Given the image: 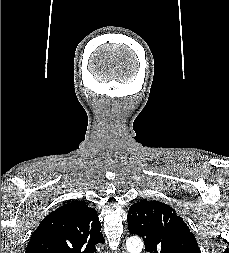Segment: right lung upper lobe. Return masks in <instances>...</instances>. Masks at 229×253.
<instances>
[{"label":"right lung upper lobe","mask_w":229,"mask_h":253,"mask_svg":"<svg viewBox=\"0 0 229 253\" xmlns=\"http://www.w3.org/2000/svg\"><path fill=\"white\" fill-rule=\"evenodd\" d=\"M99 243L103 244L104 238L95 209L73 201L41 221L25 253H96Z\"/></svg>","instance_id":"1"}]
</instances>
